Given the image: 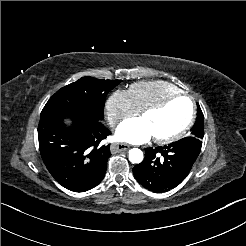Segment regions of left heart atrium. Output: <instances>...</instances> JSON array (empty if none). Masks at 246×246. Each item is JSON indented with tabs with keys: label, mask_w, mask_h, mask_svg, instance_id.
Returning <instances> with one entry per match:
<instances>
[{
	"label": "left heart atrium",
	"mask_w": 246,
	"mask_h": 246,
	"mask_svg": "<svg viewBox=\"0 0 246 246\" xmlns=\"http://www.w3.org/2000/svg\"><path fill=\"white\" fill-rule=\"evenodd\" d=\"M116 136L121 141L140 144L150 140L152 133L142 119L132 118L118 126Z\"/></svg>",
	"instance_id": "1"
}]
</instances>
